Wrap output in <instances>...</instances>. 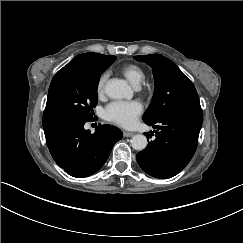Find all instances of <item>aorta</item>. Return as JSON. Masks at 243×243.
I'll return each instance as SVG.
<instances>
[{"label":"aorta","instance_id":"aorta-1","mask_svg":"<svg viewBox=\"0 0 243 243\" xmlns=\"http://www.w3.org/2000/svg\"><path fill=\"white\" fill-rule=\"evenodd\" d=\"M104 91L107 97L111 99H121L125 97H132V88L127 82L121 79H109L105 86ZM131 146L137 151H142L147 146V138L142 134H136L131 139Z\"/></svg>","mask_w":243,"mask_h":243}]
</instances>
